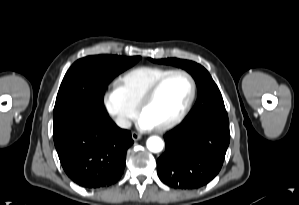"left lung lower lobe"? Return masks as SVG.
I'll return each instance as SVG.
<instances>
[{
    "instance_id": "obj_1",
    "label": "left lung lower lobe",
    "mask_w": 299,
    "mask_h": 205,
    "mask_svg": "<svg viewBox=\"0 0 299 205\" xmlns=\"http://www.w3.org/2000/svg\"><path fill=\"white\" fill-rule=\"evenodd\" d=\"M165 152L157 160L160 180L176 189H196L220 171L230 142L224 109L187 118L164 137Z\"/></svg>"
}]
</instances>
